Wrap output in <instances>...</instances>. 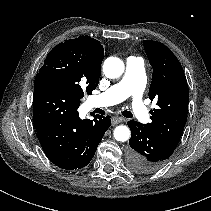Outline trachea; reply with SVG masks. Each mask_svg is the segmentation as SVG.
Masks as SVG:
<instances>
[{
    "label": "trachea",
    "instance_id": "obj_1",
    "mask_svg": "<svg viewBox=\"0 0 211 211\" xmlns=\"http://www.w3.org/2000/svg\"><path fill=\"white\" fill-rule=\"evenodd\" d=\"M122 115L126 118H132L133 117V114L130 111H127V110L123 111Z\"/></svg>",
    "mask_w": 211,
    "mask_h": 211
}]
</instances>
